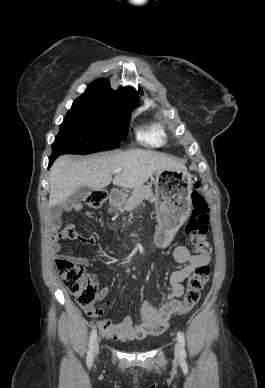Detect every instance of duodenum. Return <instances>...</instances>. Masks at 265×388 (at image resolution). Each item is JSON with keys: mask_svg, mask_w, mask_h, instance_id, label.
Masks as SVG:
<instances>
[{"mask_svg": "<svg viewBox=\"0 0 265 388\" xmlns=\"http://www.w3.org/2000/svg\"><path fill=\"white\" fill-rule=\"evenodd\" d=\"M109 200L112 205H119L124 200V194L119 190H112L109 195Z\"/></svg>", "mask_w": 265, "mask_h": 388, "instance_id": "duodenum-1", "label": "duodenum"}]
</instances>
